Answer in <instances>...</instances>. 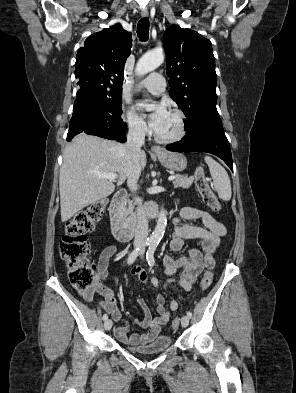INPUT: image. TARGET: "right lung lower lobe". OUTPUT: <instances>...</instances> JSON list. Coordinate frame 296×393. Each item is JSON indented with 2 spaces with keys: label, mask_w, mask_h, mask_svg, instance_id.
I'll list each match as a JSON object with an SVG mask.
<instances>
[{
  "label": "right lung lower lobe",
  "mask_w": 296,
  "mask_h": 393,
  "mask_svg": "<svg viewBox=\"0 0 296 393\" xmlns=\"http://www.w3.org/2000/svg\"><path fill=\"white\" fill-rule=\"evenodd\" d=\"M76 97L67 141L81 132L119 142L126 141V124L121 116L114 115L109 109L84 93L78 91Z\"/></svg>",
  "instance_id": "1"
}]
</instances>
